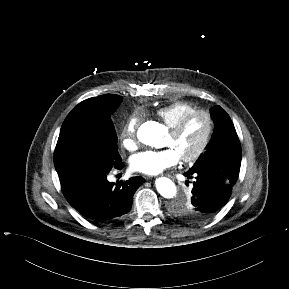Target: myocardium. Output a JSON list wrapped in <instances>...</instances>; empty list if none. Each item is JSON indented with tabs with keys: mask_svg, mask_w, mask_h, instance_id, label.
Masks as SVG:
<instances>
[{
	"mask_svg": "<svg viewBox=\"0 0 289 289\" xmlns=\"http://www.w3.org/2000/svg\"><path fill=\"white\" fill-rule=\"evenodd\" d=\"M198 115H202L206 119V122H207L206 134L200 146L196 149L195 152H193L191 155L180 157V159L185 163H191V162L197 161L208 148L212 135H213V131H214V121H213L212 115L206 110L195 109L193 111H190L184 114L173 126L169 128V133L173 136H177L183 130L187 122L191 118L198 116Z\"/></svg>",
	"mask_w": 289,
	"mask_h": 289,
	"instance_id": "f54148a6",
	"label": "myocardium"
}]
</instances>
